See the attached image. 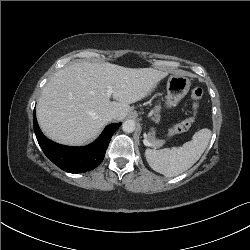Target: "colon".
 I'll return each instance as SVG.
<instances>
[{"mask_svg":"<svg viewBox=\"0 0 250 250\" xmlns=\"http://www.w3.org/2000/svg\"><path fill=\"white\" fill-rule=\"evenodd\" d=\"M203 94H204V92H203V89H201V88H195L192 90L191 98L193 100V115L190 116L189 118L183 120L179 124L175 125L174 127H172L168 131L169 137L186 132L191 128V126L193 125V123L195 121V116H196L198 108H199V101L202 99Z\"/></svg>","mask_w":250,"mask_h":250,"instance_id":"5ec220e1","label":"colon"}]
</instances>
